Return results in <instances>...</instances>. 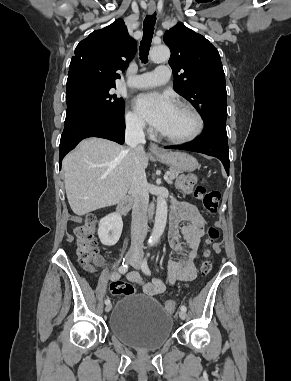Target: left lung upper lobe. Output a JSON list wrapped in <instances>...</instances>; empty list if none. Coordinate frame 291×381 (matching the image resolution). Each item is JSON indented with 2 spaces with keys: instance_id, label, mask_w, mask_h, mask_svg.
Here are the masks:
<instances>
[{
  "instance_id": "left-lung-upper-lobe-1",
  "label": "left lung upper lobe",
  "mask_w": 291,
  "mask_h": 381,
  "mask_svg": "<svg viewBox=\"0 0 291 381\" xmlns=\"http://www.w3.org/2000/svg\"><path fill=\"white\" fill-rule=\"evenodd\" d=\"M164 42L171 50L175 91L197 109L204 125L226 124V82L218 50L182 23L165 32Z\"/></svg>"
}]
</instances>
